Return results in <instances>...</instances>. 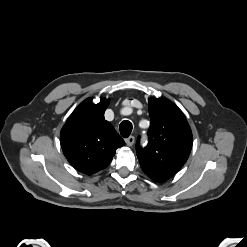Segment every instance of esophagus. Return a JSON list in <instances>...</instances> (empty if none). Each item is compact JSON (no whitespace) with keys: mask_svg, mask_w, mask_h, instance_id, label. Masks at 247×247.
Wrapping results in <instances>:
<instances>
[{"mask_svg":"<svg viewBox=\"0 0 247 247\" xmlns=\"http://www.w3.org/2000/svg\"><path fill=\"white\" fill-rule=\"evenodd\" d=\"M135 138L133 136H129L125 139V143L127 146H132L134 144Z\"/></svg>","mask_w":247,"mask_h":247,"instance_id":"esophagus-1","label":"esophagus"}]
</instances>
